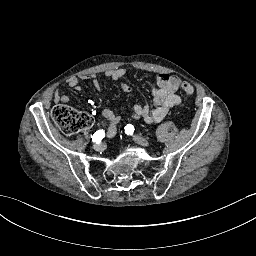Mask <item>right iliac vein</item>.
<instances>
[{"mask_svg":"<svg viewBox=\"0 0 256 256\" xmlns=\"http://www.w3.org/2000/svg\"><path fill=\"white\" fill-rule=\"evenodd\" d=\"M104 144L102 143H97L93 145V149L96 151H103L104 150Z\"/></svg>","mask_w":256,"mask_h":256,"instance_id":"obj_1","label":"right iliac vein"}]
</instances>
